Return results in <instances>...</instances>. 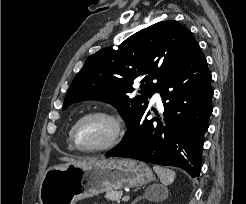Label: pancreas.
Segmentation results:
<instances>
[{
    "label": "pancreas",
    "mask_w": 246,
    "mask_h": 204,
    "mask_svg": "<svg viewBox=\"0 0 246 204\" xmlns=\"http://www.w3.org/2000/svg\"><path fill=\"white\" fill-rule=\"evenodd\" d=\"M123 195L122 191H109L105 194V198L109 201H116V202H120V199Z\"/></svg>",
    "instance_id": "cf45deb5"
}]
</instances>
